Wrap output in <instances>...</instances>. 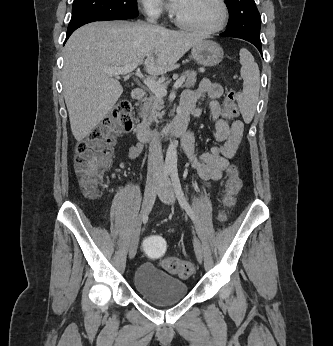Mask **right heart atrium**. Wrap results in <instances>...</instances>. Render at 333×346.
<instances>
[{
    "label": "right heart atrium",
    "instance_id": "1",
    "mask_svg": "<svg viewBox=\"0 0 333 346\" xmlns=\"http://www.w3.org/2000/svg\"><path fill=\"white\" fill-rule=\"evenodd\" d=\"M145 13L154 19H159L163 16L166 6L163 0H139Z\"/></svg>",
    "mask_w": 333,
    "mask_h": 346
}]
</instances>
